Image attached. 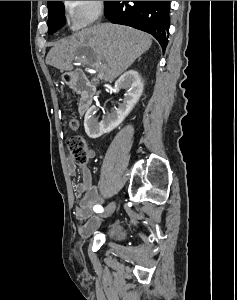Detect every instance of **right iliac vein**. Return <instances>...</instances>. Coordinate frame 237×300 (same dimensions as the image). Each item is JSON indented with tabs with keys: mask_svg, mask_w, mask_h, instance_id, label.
I'll list each match as a JSON object with an SVG mask.
<instances>
[{
	"mask_svg": "<svg viewBox=\"0 0 237 300\" xmlns=\"http://www.w3.org/2000/svg\"><path fill=\"white\" fill-rule=\"evenodd\" d=\"M116 208V203L115 202H111L104 210V212L100 215L101 218H106L108 216H110Z\"/></svg>",
	"mask_w": 237,
	"mask_h": 300,
	"instance_id": "right-iliac-vein-1",
	"label": "right iliac vein"
}]
</instances>
